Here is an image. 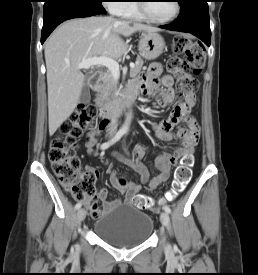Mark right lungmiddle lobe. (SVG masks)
Segmentation results:
<instances>
[{
  "instance_id": "obj_1",
  "label": "right lung middle lobe",
  "mask_w": 258,
  "mask_h": 275,
  "mask_svg": "<svg viewBox=\"0 0 258 275\" xmlns=\"http://www.w3.org/2000/svg\"><path fill=\"white\" fill-rule=\"evenodd\" d=\"M47 1V0H46ZM93 2L101 3L103 0H92Z\"/></svg>"
}]
</instances>
